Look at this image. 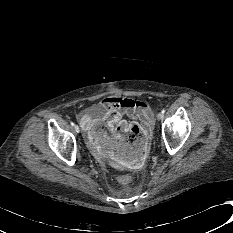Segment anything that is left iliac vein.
Listing matches in <instances>:
<instances>
[{
	"instance_id": "left-iliac-vein-1",
	"label": "left iliac vein",
	"mask_w": 233,
	"mask_h": 233,
	"mask_svg": "<svg viewBox=\"0 0 233 233\" xmlns=\"http://www.w3.org/2000/svg\"><path fill=\"white\" fill-rule=\"evenodd\" d=\"M162 118H163L162 112L158 113V114H157V119H158V120H161Z\"/></svg>"
}]
</instances>
